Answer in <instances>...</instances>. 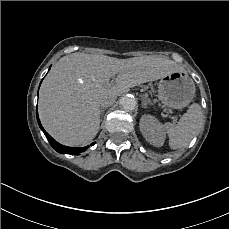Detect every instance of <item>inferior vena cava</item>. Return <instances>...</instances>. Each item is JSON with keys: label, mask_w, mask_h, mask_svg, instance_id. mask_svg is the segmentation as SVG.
Returning a JSON list of instances; mask_svg holds the SVG:
<instances>
[{"label": "inferior vena cava", "mask_w": 229, "mask_h": 229, "mask_svg": "<svg viewBox=\"0 0 229 229\" xmlns=\"http://www.w3.org/2000/svg\"><path fill=\"white\" fill-rule=\"evenodd\" d=\"M113 104V103H112ZM112 104H110L108 101H102L101 105L103 107H108V106H111Z\"/></svg>", "instance_id": "602c4592"}]
</instances>
